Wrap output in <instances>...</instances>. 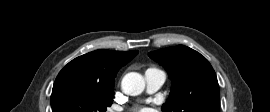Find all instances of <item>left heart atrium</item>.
<instances>
[{
    "instance_id": "39dd6f15",
    "label": "left heart atrium",
    "mask_w": 270,
    "mask_h": 112,
    "mask_svg": "<svg viewBox=\"0 0 270 112\" xmlns=\"http://www.w3.org/2000/svg\"><path fill=\"white\" fill-rule=\"evenodd\" d=\"M139 112H147L146 109H140Z\"/></svg>"
}]
</instances>
